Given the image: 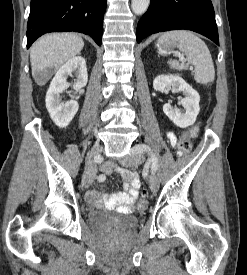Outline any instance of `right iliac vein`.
Masks as SVG:
<instances>
[{
  "instance_id": "1",
  "label": "right iliac vein",
  "mask_w": 247,
  "mask_h": 275,
  "mask_svg": "<svg viewBox=\"0 0 247 275\" xmlns=\"http://www.w3.org/2000/svg\"><path fill=\"white\" fill-rule=\"evenodd\" d=\"M102 151L101 147H93L86 156L85 171L82 176V185L87 187L91 184L96 175V166H95V154H100Z\"/></svg>"
}]
</instances>
